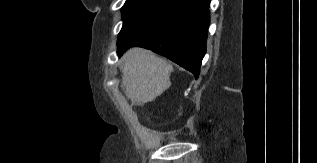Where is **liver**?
Instances as JSON below:
<instances>
[{
    "label": "liver",
    "instance_id": "6515ba94",
    "mask_svg": "<svg viewBox=\"0 0 317 163\" xmlns=\"http://www.w3.org/2000/svg\"><path fill=\"white\" fill-rule=\"evenodd\" d=\"M122 84L132 104L154 101L171 86L172 65L143 49L128 50L122 57Z\"/></svg>",
    "mask_w": 317,
    "mask_h": 163
}]
</instances>
